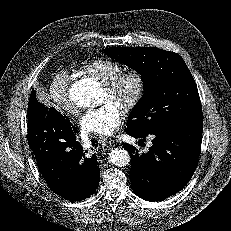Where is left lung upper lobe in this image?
Wrapping results in <instances>:
<instances>
[{
	"instance_id": "1",
	"label": "left lung upper lobe",
	"mask_w": 231,
	"mask_h": 231,
	"mask_svg": "<svg viewBox=\"0 0 231 231\" xmlns=\"http://www.w3.org/2000/svg\"><path fill=\"white\" fill-rule=\"evenodd\" d=\"M104 52L134 68L144 81V95L129 114L127 130L151 133L202 124L197 85L179 54L149 47Z\"/></svg>"
}]
</instances>
